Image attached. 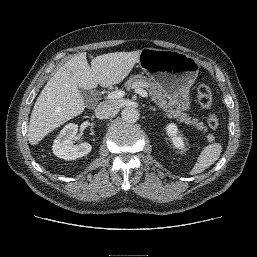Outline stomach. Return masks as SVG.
I'll use <instances>...</instances> for the list:
<instances>
[{
	"label": "stomach",
	"mask_w": 257,
	"mask_h": 257,
	"mask_svg": "<svg viewBox=\"0 0 257 257\" xmlns=\"http://www.w3.org/2000/svg\"><path fill=\"white\" fill-rule=\"evenodd\" d=\"M139 67L160 86L174 108L191 109L190 88L198 73V60L176 50L144 48L140 50Z\"/></svg>",
	"instance_id": "obj_1"
}]
</instances>
